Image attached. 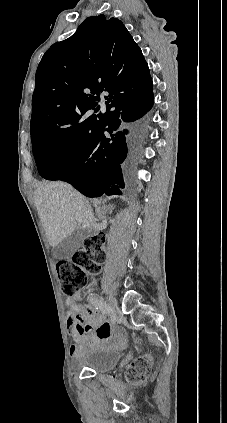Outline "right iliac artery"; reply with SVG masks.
Here are the masks:
<instances>
[{
  "label": "right iliac artery",
  "mask_w": 227,
  "mask_h": 423,
  "mask_svg": "<svg viewBox=\"0 0 227 423\" xmlns=\"http://www.w3.org/2000/svg\"><path fill=\"white\" fill-rule=\"evenodd\" d=\"M88 300L91 302L92 306H94L96 309H99L100 311H102L103 313H107V315L110 318V323L111 324H116L117 323V315L114 312L113 309L110 308L109 304L104 302L103 300L97 299L96 295L94 293H91L88 296Z\"/></svg>",
  "instance_id": "right-iliac-artery-1"
}]
</instances>
